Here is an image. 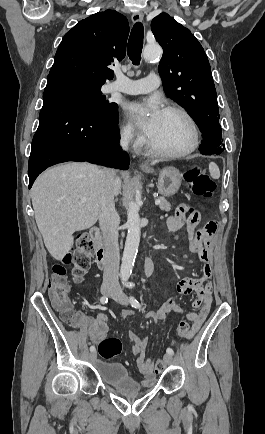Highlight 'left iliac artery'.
Masks as SVG:
<instances>
[{"label":"left iliac artery","instance_id":"44dca946","mask_svg":"<svg viewBox=\"0 0 265 434\" xmlns=\"http://www.w3.org/2000/svg\"><path fill=\"white\" fill-rule=\"evenodd\" d=\"M129 300H130V303H131L132 307H134V308H141V305H140V303L138 302V300L136 298H134L133 296H130ZM166 352L168 354H171V355L174 354L173 349L170 348V347L167 348Z\"/></svg>","mask_w":265,"mask_h":434}]
</instances>
